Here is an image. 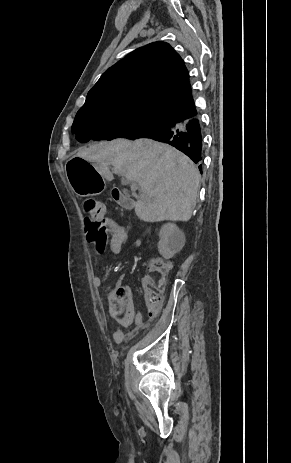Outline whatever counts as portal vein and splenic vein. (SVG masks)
Listing matches in <instances>:
<instances>
[{
	"label": "portal vein and splenic vein",
	"instance_id": "18ae733b",
	"mask_svg": "<svg viewBox=\"0 0 291 463\" xmlns=\"http://www.w3.org/2000/svg\"><path fill=\"white\" fill-rule=\"evenodd\" d=\"M125 183H130V188H131L132 191H136L137 188H138L137 183H135V182H133V181H129V180L126 179V180H125Z\"/></svg>",
	"mask_w": 291,
	"mask_h": 463
}]
</instances>
